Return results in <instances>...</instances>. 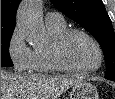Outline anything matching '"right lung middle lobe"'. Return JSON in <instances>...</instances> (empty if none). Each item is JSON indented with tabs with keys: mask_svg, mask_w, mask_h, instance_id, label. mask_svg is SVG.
Here are the masks:
<instances>
[{
	"mask_svg": "<svg viewBox=\"0 0 115 99\" xmlns=\"http://www.w3.org/2000/svg\"><path fill=\"white\" fill-rule=\"evenodd\" d=\"M14 30H1V67L13 66L9 55V44Z\"/></svg>",
	"mask_w": 115,
	"mask_h": 99,
	"instance_id": "1",
	"label": "right lung middle lobe"
}]
</instances>
